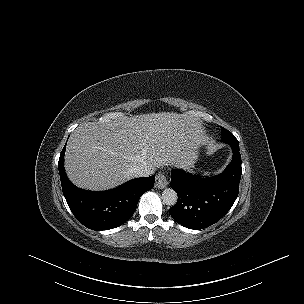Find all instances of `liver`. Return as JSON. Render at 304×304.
<instances>
[{
	"label": "liver",
	"mask_w": 304,
	"mask_h": 304,
	"mask_svg": "<svg viewBox=\"0 0 304 304\" xmlns=\"http://www.w3.org/2000/svg\"><path fill=\"white\" fill-rule=\"evenodd\" d=\"M200 142L198 123L183 114L159 112L110 125L89 124L70 136L65 170L80 188L108 190L134 178L132 170L140 165H192Z\"/></svg>",
	"instance_id": "1"
}]
</instances>
